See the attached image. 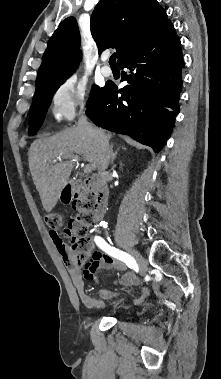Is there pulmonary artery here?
I'll list each match as a JSON object with an SVG mask.
<instances>
[{
  "label": "pulmonary artery",
  "instance_id": "pulmonary-artery-1",
  "mask_svg": "<svg viewBox=\"0 0 221 379\" xmlns=\"http://www.w3.org/2000/svg\"><path fill=\"white\" fill-rule=\"evenodd\" d=\"M108 58H109L108 55H107V54H104V55L101 57V60H102V62L105 63V62L108 60ZM100 71H101L102 75H104L105 77H109V76L112 75V69H111L109 66H107V65H103V66L101 67Z\"/></svg>",
  "mask_w": 221,
  "mask_h": 379
}]
</instances>
